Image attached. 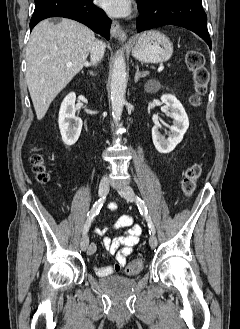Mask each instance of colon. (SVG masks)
I'll use <instances>...</instances> for the list:
<instances>
[{
	"instance_id": "colon-1",
	"label": "colon",
	"mask_w": 240,
	"mask_h": 329,
	"mask_svg": "<svg viewBox=\"0 0 240 329\" xmlns=\"http://www.w3.org/2000/svg\"><path fill=\"white\" fill-rule=\"evenodd\" d=\"M186 65L188 70L193 75V93L190 98L192 105L197 106L201 102L202 96L205 94L207 84L209 81V72L205 67L204 57L198 50H190L186 55ZM47 158L39 151H35L30 158L33 172L36 180L40 183H45L49 180V173L47 171ZM202 173V167L196 163L191 165L184 174L182 180V191L185 196L189 197L195 191L197 181ZM142 268V260L140 258L134 259L126 268L127 274L138 273Z\"/></svg>"
}]
</instances>
